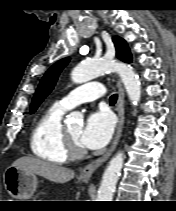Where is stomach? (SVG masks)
<instances>
[{
    "instance_id": "obj_1",
    "label": "stomach",
    "mask_w": 176,
    "mask_h": 211,
    "mask_svg": "<svg viewBox=\"0 0 176 211\" xmlns=\"http://www.w3.org/2000/svg\"><path fill=\"white\" fill-rule=\"evenodd\" d=\"M4 184L8 193L19 201H28L34 195L38 179L35 174L26 173L16 167H8L4 172ZM86 181V180H84Z\"/></svg>"
}]
</instances>
